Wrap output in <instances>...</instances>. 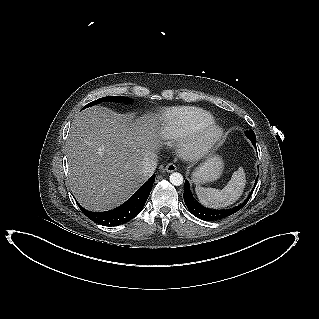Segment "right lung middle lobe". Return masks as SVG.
Instances as JSON below:
<instances>
[{"label": "right lung middle lobe", "mask_w": 319, "mask_h": 319, "mask_svg": "<svg viewBox=\"0 0 319 319\" xmlns=\"http://www.w3.org/2000/svg\"><path fill=\"white\" fill-rule=\"evenodd\" d=\"M124 102V103H131L132 102V99L131 98H128V97H118V96H109V97H103V98H100V99H97L96 101H93L89 104H87L86 106H84V108L86 107H90L92 105H96L98 103H101V102ZM83 108V109H84Z\"/></svg>", "instance_id": "dd1d6c3e"}]
</instances>
